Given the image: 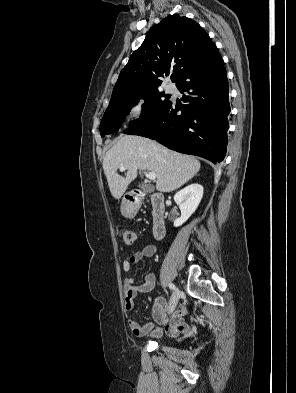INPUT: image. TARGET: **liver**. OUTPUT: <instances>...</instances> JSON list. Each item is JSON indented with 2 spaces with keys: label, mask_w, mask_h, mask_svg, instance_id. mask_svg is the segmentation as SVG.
Here are the masks:
<instances>
[{
  "label": "liver",
  "mask_w": 296,
  "mask_h": 393,
  "mask_svg": "<svg viewBox=\"0 0 296 393\" xmlns=\"http://www.w3.org/2000/svg\"><path fill=\"white\" fill-rule=\"evenodd\" d=\"M122 166L127 170L125 177L117 173ZM103 170L112 196L120 199L128 185L137 177L138 170L155 172L156 190L171 192L198 173L200 162L150 139L125 135L106 153Z\"/></svg>",
  "instance_id": "liver-1"
}]
</instances>
